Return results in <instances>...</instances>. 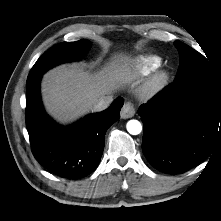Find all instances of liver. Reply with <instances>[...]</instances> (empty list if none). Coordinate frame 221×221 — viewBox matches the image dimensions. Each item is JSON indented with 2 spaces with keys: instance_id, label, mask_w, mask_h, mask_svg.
<instances>
[{
  "instance_id": "liver-1",
  "label": "liver",
  "mask_w": 221,
  "mask_h": 221,
  "mask_svg": "<svg viewBox=\"0 0 221 221\" xmlns=\"http://www.w3.org/2000/svg\"><path fill=\"white\" fill-rule=\"evenodd\" d=\"M127 57H120L96 74L77 64L62 65L47 72L42 81L46 110L56 120L67 123L89 111L99 98L109 96L131 78Z\"/></svg>"
}]
</instances>
